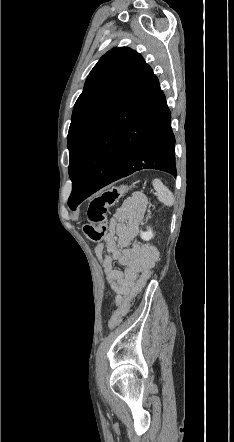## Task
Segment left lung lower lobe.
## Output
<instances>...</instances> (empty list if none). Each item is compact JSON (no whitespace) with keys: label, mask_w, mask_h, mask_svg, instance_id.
Listing matches in <instances>:
<instances>
[{"label":"left lung lower lobe","mask_w":234,"mask_h":442,"mask_svg":"<svg viewBox=\"0 0 234 442\" xmlns=\"http://www.w3.org/2000/svg\"><path fill=\"white\" fill-rule=\"evenodd\" d=\"M175 137L159 81L146 66L91 140L68 205L141 169L176 177Z\"/></svg>","instance_id":"obj_1"}]
</instances>
